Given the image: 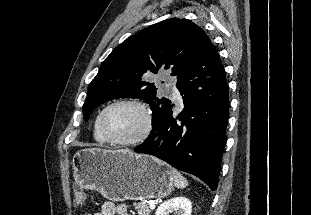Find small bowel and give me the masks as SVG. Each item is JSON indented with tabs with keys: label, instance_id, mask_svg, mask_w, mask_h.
I'll use <instances>...</instances> for the list:
<instances>
[{
	"label": "small bowel",
	"instance_id": "small-bowel-1",
	"mask_svg": "<svg viewBox=\"0 0 311 215\" xmlns=\"http://www.w3.org/2000/svg\"><path fill=\"white\" fill-rule=\"evenodd\" d=\"M84 215H130L128 208L124 204L116 205L113 202H105L101 210L95 213H86Z\"/></svg>",
	"mask_w": 311,
	"mask_h": 215
}]
</instances>
